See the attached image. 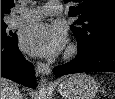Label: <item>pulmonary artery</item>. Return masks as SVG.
<instances>
[{"label":"pulmonary artery","mask_w":115,"mask_h":99,"mask_svg":"<svg viewBox=\"0 0 115 99\" xmlns=\"http://www.w3.org/2000/svg\"><path fill=\"white\" fill-rule=\"evenodd\" d=\"M62 12V5L58 1H49L43 7L27 9L9 22L10 27H17L29 22L36 21L45 15H58Z\"/></svg>","instance_id":"obj_1"}]
</instances>
